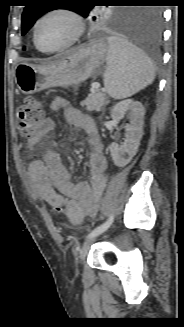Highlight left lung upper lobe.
I'll return each instance as SVG.
<instances>
[{
    "label": "left lung upper lobe",
    "mask_w": 184,
    "mask_h": 327,
    "mask_svg": "<svg viewBox=\"0 0 184 327\" xmlns=\"http://www.w3.org/2000/svg\"><path fill=\"white\" fill-rule=\"evenodd\" d=\"M87 0H73L70 5H62L56 0H30L22 14V35L32 27L43 14L56 8H68L84 18L91 19L97 26L129 27L139 18L140 9H110L100 13L95 6L89 5Z\"/></svg>",
    "instance_id": "5c2ea615"
}]
</instances>
